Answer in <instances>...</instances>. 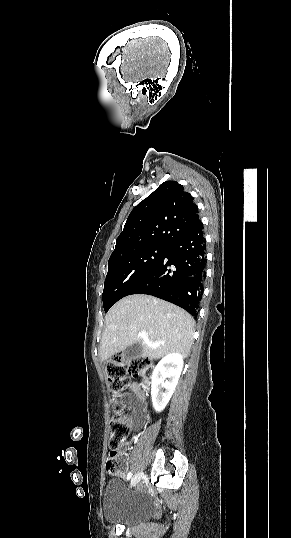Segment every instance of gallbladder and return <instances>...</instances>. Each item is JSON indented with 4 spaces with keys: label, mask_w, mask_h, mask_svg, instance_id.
<instances>
[{
    "label": "gallbladder",
    "mask_w": 291,
    "mask_h": 538,
    "mask_svg": "<svg viewBox=\"0 0 291 538\" xmlns=\"http://www.w3.org/2000/svg\"><path fill=\"white\" fill-rule=\"evenodd\" d=\"M141 353H142V348H141L140 343H135V344L127 347L123 351V357L125 359L138 358V357H140Z\"/></svg>",
    "instance_id": "1"
}]
</instances>
